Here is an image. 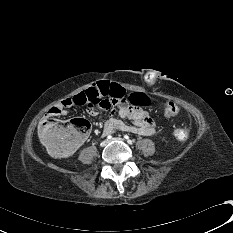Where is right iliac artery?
Masks as SVG:
<instances>
[{
  "mask_svg": "<svg viewBox=\"0 0 233 233\" xmlns=\"http://www.w3.org/2000/svg\"><path fill=\"white\" fill-rule=\"evenodd\" d=\"M111 138H112V136H111V135H108V136H107V139H111Z\"/></svg>",
  "mask_w": 233,
  "mask_h": 233,
  "instance_id": "right-iliac-artery-1",
  "label": "right iliac artery"
}]
</instances>
